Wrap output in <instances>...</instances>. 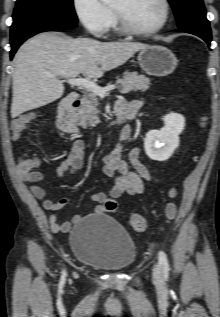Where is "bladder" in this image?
<instances>
[{"label":"bladder","instance_id":"obj_1","mask_svg":"<svg viewBox=\"0 0 220 317\" xmlns=\"http://www.w3.org/2000/svg\"><path fill=\"white\" fill-rule=\"evenodd\" d=\"M69 244L82 264L105 271L129 268L137 256V247L127 230L105 214L83 217L72 228Z\"/></svg>","mask_w":220,"mask_h":317}]
</instances>
